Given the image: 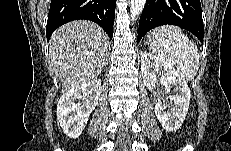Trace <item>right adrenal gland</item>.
I'll return each instance as SVG.
<instances>
[{"mask_svg": "<svg viewBox=\"0 0 231 151\" xmlns=\"http://www.w3.org/2000/svg\"><path fill=\"white\" fill-rule=\"evenodd\" d=\"M108 63H107V58L105 59V61H104V66H106Z\"/></svg>", "mask_w": 231, "mask_h": 151, "instance_id": "right-adrenal-gland-1", "label": "right adrenal gland"}]
</instances>
